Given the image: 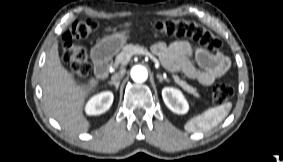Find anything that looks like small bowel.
I'll list each match as a JSON object with an SVG mask.
<instances>
[{"mask_svg": "<svg viewBox=\"0 0 283 162\" xmlns=\"http://www.w3.org/2000/svg\"><path fill=\"white\" fill-rule=\"evenodd\" d=\"M152 51L170 71H182L187 77L201 85H211L230 68V60L222 53H210L201 46L193 47L187 41H176L170 45L156 42Z\"/></svg>", "mask_w": 283, "mask_h": 162, "instance_id": "obj_1", "label": "small bowel"}]
</instances>
